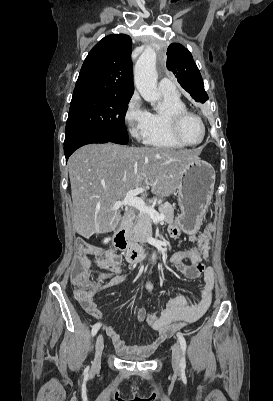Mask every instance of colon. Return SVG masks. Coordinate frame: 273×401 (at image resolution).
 Returning a JSON list of instances; mask_svg holds the SVG:
<instances>
[{
    "label": "colon",
    "instance_id": "1",
    "mask_svg": "<svg viewBox=\"0 0 273 401\" xmlns=\"http://www.w3.org/2000/svg\"><path fill=\"white\" fill-rule=\"evenodd\" d=\"M82 257H74L73 264L74 268H72V278L69 280V285L73 287L74 296L75 297H88L89 293H101L102 286L101 284H94L93 278H90L89 270L94 268V263L92 261H87L86 255L87 252L82 250L80 252ZM146 291H153V284L145 285Z\"/></svg>",
    "mask_w": 273,
    "mask_h": 401
}]
</instances>
